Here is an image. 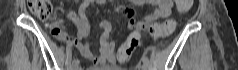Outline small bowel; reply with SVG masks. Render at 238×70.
<instances>
[{
	"label": "small bowel",
	"mask_w": 238,
	"mask_h": 70,
	"mask_svg": "<svg viewBox=\"0 0 238 70\" xmlns=\"http://www.w3.org/2000/svg\"><path fill=\"white\" fill-rule=\"evenodd\" d=\"M89 2L91 1H85L84 7ZM134 2L137 4L147 3L156 5L157 8L152 13L146 15L143 19H156L158 21L159 19L166 18L171 14L175 0H135ZM119 11L126 16L128 27L132 28L134 26V12L129 8H120ZM67 17L73 20H77L79 36L77 38L70 37L64 30L61 22L56 21L50 25L52 29V34L55 36V38L60 41L74 45L83 57L91 60L94 63L93 68H106L109 67L108 64H111V66L114 67V64L117 61L118 49L116 48L114 42L108 41L110 33L112 31L111 23L108 20H103L101 22L99 49L96 53L91 50L88 42L89 26L83 12L81 13L80 19H77L75 14L72 12H67ZM54 28H58L59 33H53ZM119 60L122 61V59Z\"/></svg>",
	"instance_id": "c3829d8e"
}]
</instances>
